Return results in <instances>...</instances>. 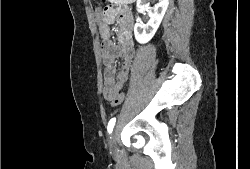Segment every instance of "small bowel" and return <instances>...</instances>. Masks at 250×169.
<instances>
[{"label":"small bowel","mask_w":250,"mask_h":169,"mask_svg":"<svg viewBox=\"0 0 250 169\" xmlns=\"http://www.w3.org/2000/svg\"><path fill=\"white\" fill-rule=\"evenodd\" d=\"M114 14H118L122 20L125 18L124 12L119 9H116ZM110 15L111 13L108 12L106 17H109ZM106 20L109 21V19ZM121 24L124 28L125 40L121 47H117L110 43L107 22L102 20L100 24L102 62L104 64L103 96L105 98L107 91H119V89H124L135 57L134 45L130 41L129 25L126 21H121ZM118 57L122 58V65L119 71H117L115 66V61Z\"/></svg>","instance_id":"obj_1"}]
</instances>
